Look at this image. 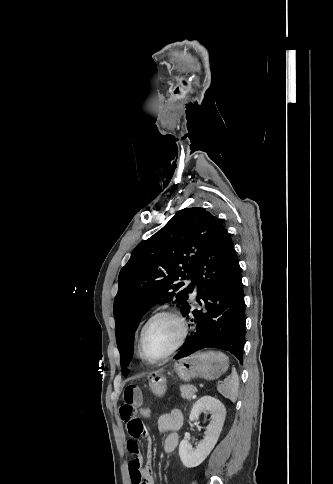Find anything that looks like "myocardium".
Listing matches in <instances>:
<instances>
[{
    "label": "myocardium",
    "mask_w": 333,
    "mask_h": 484,
    "mask_svg": "<svg viewBox=\"0 0 333 484\" xmlns=\"http://www.w3.org/2000/svg\"><path fill=\"white\" fill-rule=\"evenodd\" d=\"M162 317H168L172 318L175 320L179 327H180V334L176 342L173 344V346L162 356L152 359L149 358L148 356L145 355L144 350H143V342H144V336L145 333L148 329V327L157 319L162 318ZM189 334V325L187 320L183 315H181L179 312L175 310H161L156 313H154L152 316L149 317V319L144 323V325L141 328L139 339H138V354L142 359H144L147 362L150 363H159L167 358H169L171 355H173L185 342Z\"/></svg>",
    "instance_id": "1"
}]
</instances>
